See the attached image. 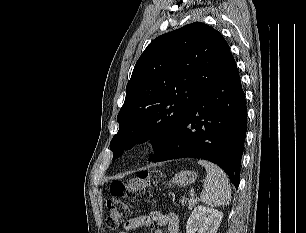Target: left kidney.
<instances>
[{"mask_svg":"<svg viewBox=\"0 0 306 233\" xmlns=\"http://www.w3.org/2000/svg\"><path fill=\"white\" fill-rule=\"evenodd\" d=\"M223 213L217 209L198 205L186 225V233H217Z\"/></svg>","mask_w":306,"mask_h":233,"instance_id":"1","label":"left kidney"}]
</instances>
